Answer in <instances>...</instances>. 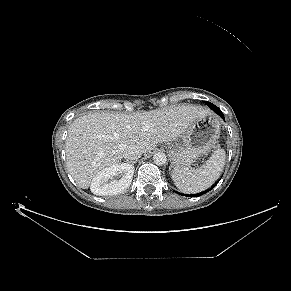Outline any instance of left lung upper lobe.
I'll list each match as a JSON object with an SVG mask.
<instances>
[{
	"label": "left lung upper lobe",
	"instance_id": "left-lung-upper-lobe-1",
	"mask_svg": "<svg viewBox=\"0 0 291 291\" xmlns=\"http://www.w3.org/2000/svg\"><path fill=\"white\" fill-rule=\"evenodd\" d=\"M205 104L208 105L210 108L215 107V105H213L212 103H210V102H208V101H205Z\"/></svg>",
	"mask_w": 291,
	"mask_h": 291
}]
</instances>
